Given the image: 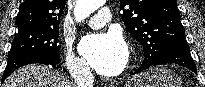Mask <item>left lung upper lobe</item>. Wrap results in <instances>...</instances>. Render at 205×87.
Returning <instances> with one entry per match:
<instances>
[{
  "label": "left lung upper lobe",
  "mask_w": 205,
  "mask_h": 87,
  "mask_svg": "<svg viewBox=\"0 0 205 87\" xmlns=\"http://www.w3.org/2000/svg\"><path fill=\"white\" fill-rule=\"evenodd\" d=\"M121 18L144 50L143 62H155L171 43L185 39L176 0H120Z\"/></svg>",
  "instance_id": "left-lung-upper-lobe-1"
}]
</instances>
